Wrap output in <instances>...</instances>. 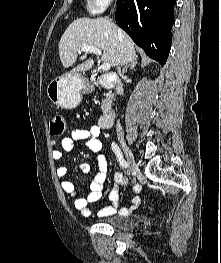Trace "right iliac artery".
<instances>
[{"label": "right iliac artery", "instance_id": "obj_1", "mask_svg": "<svg viewBox=\"0 0 221 263\" xmlns=\"http://www.w3.org/2000/svg\"><path fill=\"white\" fill-rule=\"evenodd\" d=\"M112 150L113 152L115 153V155L117 156L118 158V161L120 163V165L124 168H127L128 167V163L126 162V160L123 158L122 156V153L119 149V147L117 146V144H115L114 142L112 143Z\"/></svg>", "mask_w": 221, "mask_h": 263}]
</instances>
